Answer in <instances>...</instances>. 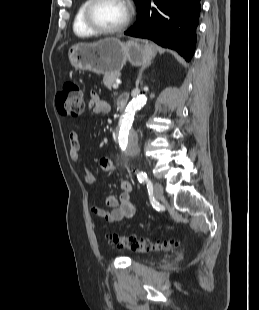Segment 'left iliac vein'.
Segmentation results:
<instances>
[{"label":"left iliac vein","instance_id":"1","mask_svg":"<svg viewBox=\"0 0 259 310\" xmlns=\"http://www.w3.org/2000/svg\"><path fill=\"white\" fill-rule=\"evenodd\" d=\"M153 194L157 200H160L163 197V187L160 183H154Z\"/></svg>","mask_w":259,"mask_h":310}]
</instances>
